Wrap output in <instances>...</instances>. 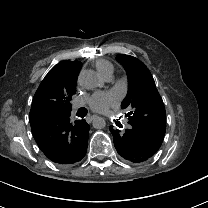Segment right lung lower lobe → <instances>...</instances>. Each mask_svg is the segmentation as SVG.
Instances as JSON below:
<instances>
[{
  "label": "right lung lower lobe",
  "mask_w": 208,
  "mask_h": 208,
  "mask_svg": "<svg viewBox=\"0 0 208 208\" xmlns=\"http://www.w3.org/2000/svg\"><path fill=\"white\" fill-rule=\"evenodd\" d=\"M32 134L47 158L58 164H73L86 154L89 125L69 116L57 114L31 115Z\"/></svg>",
  "instance_id": "98d812e1"
}]
</instances>
